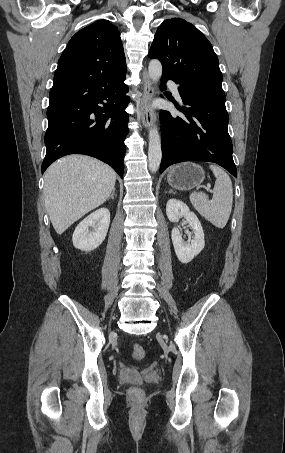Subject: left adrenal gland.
Returning a JSON list of instances; mask_svg holds the SVG:
<instances>
[{"label":"left adrenal gland","mask_w":285,"mask_h":453,"mask_svg":"<svg viewBox=\"0 0 285 453\" xmlns=\"http://www.w3.org/2000/svg\"><path fill=\"white\" fill-rule=\"evenodd\" d=\"M169 193H173V190H169Z\"/></svg>","instance_id":"left-adrenal-gland-1"}]
</instances>
